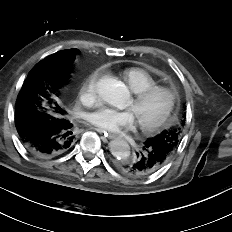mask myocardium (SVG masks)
<instances>
[{
  "instance_id": "myocardium-1",
  "label": "myocardium",
  "mask_w": 232,
  "mask_h": 232,
  "mask_svg": "<svg viewBox=\"0 0 232 232\" xmlns=\"http://www.w3.org/2000/svg\"><path fill=\"white\" fill-rule=\"evenodd\" d=\"M158 93H164L167 96V105L164 112L154 121L148 123L138 121L140 130L145 133L155 132L169 121L177 102V93L170 87L155 85L135 93L133 98V103L137 105Z\"/></svg>"
}]
</instances>
